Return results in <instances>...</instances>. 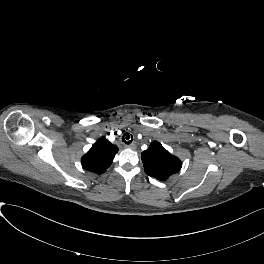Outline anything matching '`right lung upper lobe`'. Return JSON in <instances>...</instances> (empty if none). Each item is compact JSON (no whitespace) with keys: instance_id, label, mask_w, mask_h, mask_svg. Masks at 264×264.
<instances>
[{"instance_id":"cb5924a9","label":"right lung upper lobe","mask_w":264,"mask_h":264,"mask_svg":"<svg viewBox=\"0 0 264 264\" xmlns=\"http://www.w3.org/2000/svg\"><path fill=\"white\" fill-rule=\"evenodd\" d=\"M118 148L106 139L94 143L91 149L81 158L84 169L102 174L111 165Z\"/></svg>"}]
</instances>
